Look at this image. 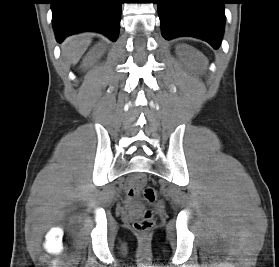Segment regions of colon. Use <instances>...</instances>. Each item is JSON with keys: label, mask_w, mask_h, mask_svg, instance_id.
<instances>
[{"label": "colon", "mask_w": 279, "mask_h": 267, "mask_svg": "<svg viewBox=\"0 0 279 267\" xmlns=\"http://www.w3.org/2000/svg\"><path fill=\"white\" fill-rule=\"evenodd\" d=\"M138 186L141 185L144 182V177H138L137 178ZM142 196L143 198L149 202L153 203L157 199V193L154 187L151 185H143L141 188ZM134 229L141 233H147L149 232L153 226H154V219L153 214L151 211H147L145 215L138 221H136L134 224Z\"/></svg>", "instance_id": "colon-1"}]
</instances>
